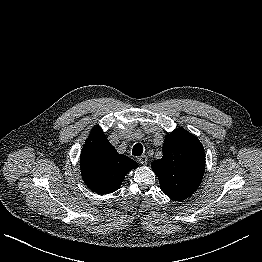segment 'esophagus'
Segmentation results:
<instances>
[{
	"instance_id": "obj_1",
	"label": "esophagus",
	"mask_w": 262,
	"mask_h": 262,
	"mask_svg": "<svg viewBox=\"0 0 262 262\" xmlns=\"http://www.w3.org/2000/svg\"><path fill=\"white\" fill-rule=\"evenodd\" d=\"M138 161L142 164L145 165L148 162V158L145 155H142L138 158Z\"/></svg>"
}]
</instances>
